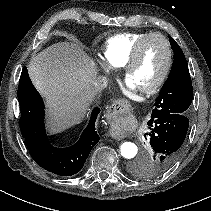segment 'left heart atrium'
Segmentation results:
<instances>
[{
  "instance_id": "left-heart-atrium-1",
  "label": "left heart atrium",
  "mask_w": 211,
  "mask_h": 211,
  "mask_svg": "<svg viewBox=\"0 0 211 211\" xmlns=\"http://www.w3.org/2000/svg\"><path fill=\"white\" fill-rule=\"evenodd\" d=\"M127 87H128L129 91H135L136 90V88L129 81L127 82Z\"/></svg>"
}]
</instances>
